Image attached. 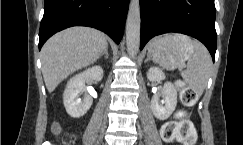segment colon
<instances>
[{"label":"colon","instance_id":"obj_1","mask_svg":"<svg viewBox=\"0 0 243 145\" xmlns=\"http://www.w3.org/2000/svg\"><path fill=\"white\" fill-rule=\"evenodd\" d=\"M177 88L180 91V100L184 106L191 107L196 103L197 93L192 87L179 81L177 82ZM53 131L55 133L59 132L58 125H53ZM160 133L164 141L178 140L183 145H194L197 138L193 124L186 119L172 120L164 123Z\"/></svg>","mask_w":243,"mask_h":145}]
</instances>
